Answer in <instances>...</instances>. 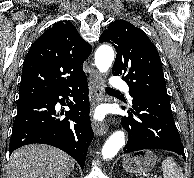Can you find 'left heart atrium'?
<instances>
[{
  "label": "left heart atrium",
  "mask_w": 194,
  "mask_h": 178,
  "mask_svg": "<svg viewBox=\"0 0 194 178\" xmlns=\"http://www.w3.org/2000/svg\"><path fill=\"white\" fill-rule=\"evenodd\" d=\"M94 117L98 120H101L103 118V112L102 111H97L95 114H94Z\"/></svg>",
  "instance_id": "39dd6f15"
}]
</instances>
